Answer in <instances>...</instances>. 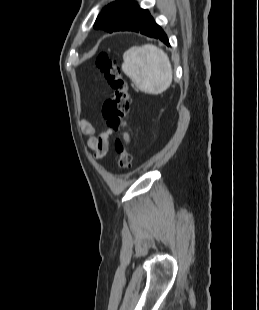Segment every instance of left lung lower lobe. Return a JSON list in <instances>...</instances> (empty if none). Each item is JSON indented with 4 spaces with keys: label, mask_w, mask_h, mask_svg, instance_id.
<instances>
[{
    "label": "left lung lower lobe",
    "mask_w": 259,
    "mask_h": 310,
    "mask_svg": "<svg viewBox=\"0 0 259 310\" xmlns=\"http://www.w3.org/2000/svg\"><path fill=\"white\" fill-rule=\"evenodd\" d=\"M135 31L148 37L160 39L169 45L168 39L162 28L154 21L148 10L140 7L130 11L112 31Z\"/></svg>",
    "instance_id": "1"
}]
</instances>
